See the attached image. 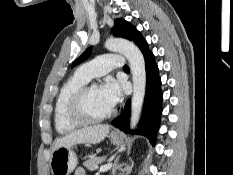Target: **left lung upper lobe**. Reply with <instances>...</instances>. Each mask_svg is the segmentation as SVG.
<instances>
[{
	"mask_svg": "<svg viewBox=\"0 0 233 175\" xmlns=\"http://www.w3.org/2000/svg\"><path fill=\"white\" fill-rule=\"evenodd\" d=\"M112 33L116 36L133 41L139 49H141L147 42L142 37L140 32L129 22L124 19H116L114 27L112 28ZM91 53V47L88 48L73 64V66L79 64L80 62L86 60Z\"/></svg>",
	"mask_w": 233,
	"mask_h": 175,
	"instance_id": "5c2ea615",
	"label": "left lung upper lobe"
}]
</instances>
